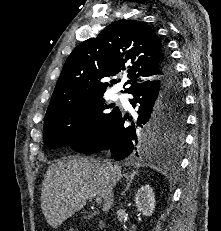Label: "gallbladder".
<instances>
[{
  "instance_id": "obj_1",
  "label": "gallbladder",
  "mask_w": 221,
  "mask_h": 231,
  "mask_svg": "<svg viewBox=\"0 0 221 231\" xmlns=\"http://www.w3.org/2000/svg\"><path fill=\"white\" fill-rule=\"evenodd\" d=\"M90 217H91L90 215H88V216H84V218H85V219L90 218Z\"/></svg>"
}]
</instances>
